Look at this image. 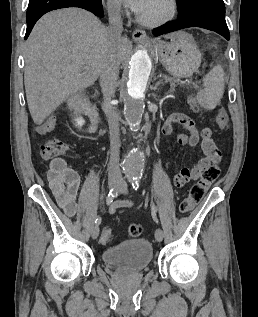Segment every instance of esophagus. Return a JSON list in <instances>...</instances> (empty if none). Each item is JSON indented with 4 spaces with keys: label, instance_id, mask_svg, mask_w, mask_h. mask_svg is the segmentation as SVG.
<instances>
[{
    "label": "esophagus",
    "instance_id": "obj_1",
    "mask_svg": "<svg viewBox=\"0 0 258 317\" xmlns=\"http://www.w3.org/2000/svg\"><path fill=\"white\" fill-rule=\"evenodd\" d=\"M132 37L134 40L148 39L146 32L144 30L136 29L132 33Z\"/></svg>",
    "mask_w": 258,
    "mask_h": 317
}]
</instances>
